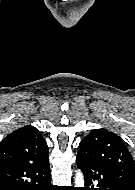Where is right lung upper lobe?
<instances>
[{
  "label": "right lung upper lobe",
  "mask_w": 135,
  "mask_h": 190,
  "mask_svg": "<svg viewBox=\"0 0 135 190\" xmlns=\"http://www.w3.org/2000/svg\"><path fill=\"white\" fill-rule=\"evenodd\" d=\"M48 146L33 126L10 133L0 144V167L17 163H38L48 159Z\"/></svg>",
  "instance_id": "cb5924a9"
}]
</instances>
